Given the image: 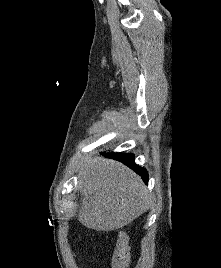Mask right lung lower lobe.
<instances>
[{
	"instance_id": "98d812e1",
	"label": "right lung lower lobe",
	"mask_w": 221,
	"mask_h": 268,
	"mask_svg": "<svg viewBox=\"0 0 221 268\" xmlns=\"http://www.w3.org/2000/svg\"><path fill=\"white\" fill-rule=\"evenodd\" d=\"M107 156L124 163L125 165L130 167L132 170H134L136 173H138L145 183H148L149 178H148V173L146 169L134 163L133 154L111 153V154H108Z\"/></svg>"
}]
</instances>
